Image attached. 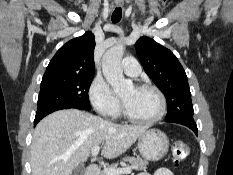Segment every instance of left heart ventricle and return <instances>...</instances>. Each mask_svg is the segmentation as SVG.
I'll return each mask as SVG.
<instances>
[{
    "label": "left heart ventricle",
    "instance_id": "1",
    "mask_svg": "<svg viewBox=\"0 0 233 175\" xmlns=\"http://www.w3.org/2000/svg\"><path fill=\"white\" fill-rule=\"evenodd\" d=\"M128 111L136 118L148 119L159 111L160 103L155 92L148 89H137L132 86L122 95Z\"/></svg>",
    "mask_w": 233,
    "mask_h": 175
}]
</instances>
